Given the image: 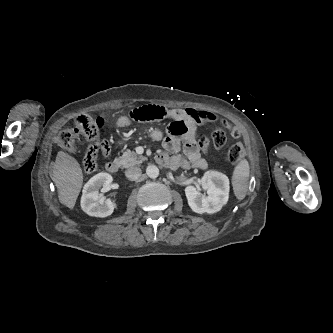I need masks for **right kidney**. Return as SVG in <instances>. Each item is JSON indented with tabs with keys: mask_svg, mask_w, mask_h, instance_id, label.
Instances as JSON below:
<instances>
[{
	"mask_svg": "<svg viewBox=\"0 0 333 333\" xmlns=\"http://www.w3.org/2000/svg\"><path fill=\"white\" fill-rule=\"evenodd\" d=\"M113 178L109 173L102 172L93 176L83 187L81 208L90 216L107 217L111 215L117 204L107 199L100 202L101 193L112 188Z\"/></svg>",
	"mask_w": 333,
	"mask_h": 333,
	"instance_id": "1",
	"label": "right kidney"
}]
</instances>
